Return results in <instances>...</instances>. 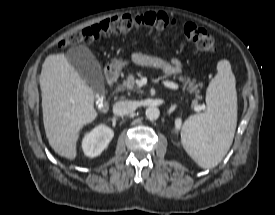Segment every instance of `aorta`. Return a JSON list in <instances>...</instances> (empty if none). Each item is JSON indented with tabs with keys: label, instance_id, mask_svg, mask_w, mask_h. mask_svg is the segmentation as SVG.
I'll use <instances>...</instances> for the list:
<instances>
[{
	"label": "aorta",
	"instance_id": "1",
	"mask_svg": "<svg viewBox=\"0 0 275 215\" xmlns=\"http://www.w3.org/2000/svg\"><path fill=\"white\" fill-rule=\"evenodd\" d=\"M146 118L150 121L157 120L160 116V110L157 107H148L145 111Z\"/></svg>",
	"mask_w": 275,
	"mask_h": 215
}]
</instances>
